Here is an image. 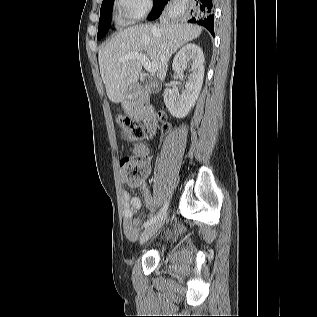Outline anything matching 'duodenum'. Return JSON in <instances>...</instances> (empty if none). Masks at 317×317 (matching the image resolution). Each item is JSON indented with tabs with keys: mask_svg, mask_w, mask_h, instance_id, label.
I'll use <instances>...</instances> for the list:
<instances>
[{
	"mask_svg": "<svg viewBox=\"0 0 317 317\" xmlns=\"http://www.w3.org/2000/svg\"><path fill=\"white\" fill-rule=\"evenodd\" d=\"M125 113L127 115H138L146 124V127L151 135L156 130V117L154 111L147 107L148 103L144 100H125Z\"/></svg>",
	"mask_w": 317,
	"mask_h": 317,
	"instance_id": "1",
	"label": "duodenum"
}]
</instances>
